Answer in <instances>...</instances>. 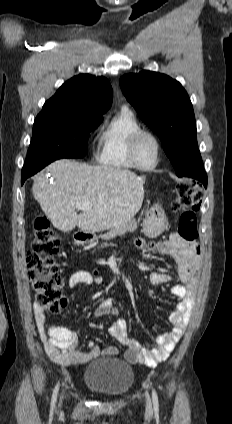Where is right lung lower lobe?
Listing matches in <instances>:
<instances>
[{"label": "right lung lower lobe", "instance_id": "1", "mask_svg": "<svg viewBox=\"0 0 232 424\" xmlns=\"http://www.w3.org/2000/svg\"><path fill=\"white\" fill-rule=\"evenodd\" d=\"M54 160H57V159H54ZM54 160H48V161H44V162L38 163V164H36L35 166H33L32 168H30L28 170H23L22 169L21 184H23L28 177L36 174L38 171H40L41 169H43L45 166H47L48 164H50Z\"/></svg>", "mask_w": 232, "mask_h": 424}]
</instances>
